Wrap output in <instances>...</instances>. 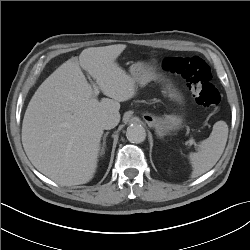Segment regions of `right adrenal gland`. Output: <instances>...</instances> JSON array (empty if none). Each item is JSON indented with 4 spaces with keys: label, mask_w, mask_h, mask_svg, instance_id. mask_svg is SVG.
<instances>
[{
    "label": "right adrenal gland",
    "mask_w": 250,
    "mask_h": 250,
    "mask_svg": "<svg viewBox=\"0 0 250 250\" xmlns=\"http://www.w3.org/2000/svg\"><path fill=\"white\" fill-rule=\"evenodd\" d=\"M107 135H108V132L106 134H104L103 144H102V147H101V150H100V156L105 154L106 137H107Z\"/></svg>",
    "instance_id": "right-adrenal-gland-1"
}]
</instances>
